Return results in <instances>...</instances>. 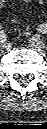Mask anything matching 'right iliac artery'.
<instances>
[{
    "instance_id": "1",
    "label": "right iliac artery",
    "mask_w": 47,
    "mask_h": 129,
    "mask_svg": "<svg viewBox=\"0 0 47 129\" xmlns=\"http://www.w3.org/2000/svg\"><path fill=\"white\" fill-rule=\"evenodd\" d=\"M0 40H1V42L6 40V34H5V32L3 30L0 31Z\"/></svg>"
}]
</instances>
